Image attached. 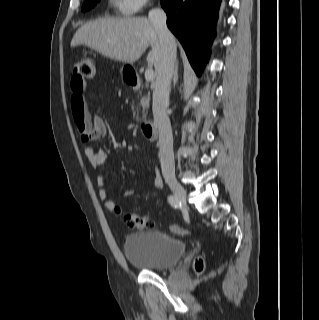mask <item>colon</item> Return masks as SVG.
<instances>
[{"label":"colon","mask_w":319,"mask_h":320,"mask_svg":"<svg viewBox=\"0 0 319 320\" xmlns=\"http://www.w3.org/2000/svg\"><path fill=\"white\" fill-rule=\"evenodd\" d=\"M96 70V62L93 59H80L76 61L74 64L73 78H76L80 83H85L86 81L93 80L95 78ZM73 116L81 141L88 142L92 140V128L84 114L75 113L73 114ZM115 212L122 215L123 222L125 226L129 229H146L151 228L153 226L148 216H141L136 214L135 212H123L122 209L118 206L115 207ZM170 231L177 235L188 234V231L186 229L175 224L170 226ZM203 268V261L197 260L195 262V269L198 272H201Z\"/></svg>","instance_id":"colon-1"}]
</instances>
